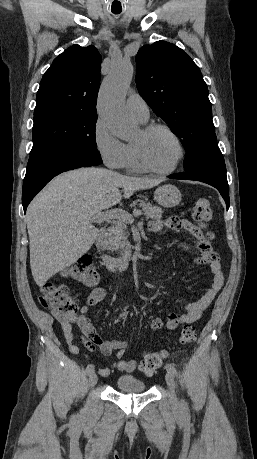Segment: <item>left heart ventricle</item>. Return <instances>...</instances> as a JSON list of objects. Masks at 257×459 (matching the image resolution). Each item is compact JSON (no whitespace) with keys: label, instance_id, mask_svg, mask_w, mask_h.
<instances>
[{"label":"left heart ventricle","instance_id":"obj_1","mask_svg":"<svg viewBox=\"0 0 257 459\" xmlns=\"http://www.w3.org/2000/svg\"><path fill=\"white\" fill-rule=\"evenodd\" d=\"M135 142L143 144L150 163L160 169L171 167L179 154L175 141L163 130H157L147 137H143L140 131Z\"/></svg>","mask_w":257,"mask_h":459}]
</instances>
